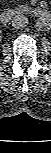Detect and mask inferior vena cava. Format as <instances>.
Listing matches in <instances>:
<instances>
[{
	"mask_svg": "<svg viewBox=\"0 0 51 153\" xmlns=\"http://www.w3.org/2000/svg\"><path fill=\"white\" fill-rule=\"evenodd\" d=\"M12 26L16 29H21L27 26L28 18L24 15H17L12 19Z\"/></svg>",
	"mask_w": 51,
	"mask_h": 153,
	"instance_id": "obj_1",
	"label": "inferior vena cava"
}]
</instances>
